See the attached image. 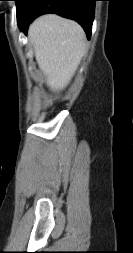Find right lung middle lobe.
Listing matches in <instances>:
<instances>
[{"mask_svg":"<svg viewBox=\"0 0 133 253\" xmlns=\"http://www.w3.org/2000/svg\"><path fill=\"white\" fill-rule=\"evenodd\" d=\"M16 2V8H17V19L20 17L23 6L27 0H14Z\"/></svg>","mask_w":133,"mask_h":253,"instance_id":"1","label":"right lung middle lobe"}]
</instances>
